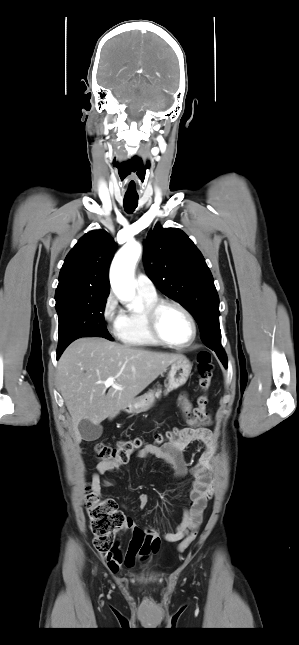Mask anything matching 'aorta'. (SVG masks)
<instances>
[{
  "label": "aorta",
  "instance_id": "obj_1",
  "mask_svg": "<svg viewBox=\"0 0 299 645\" xmlns=\"http://www.w3.org/2000/svg\"><path fill=\"white\" fill-rule=\"evenodd\" d=\"M142 252L137 242L126 243L115 255L110 282L113 292L123 301H131L135 295L134 268Z\"/></svg>",
  "mask_w": 299,
  "mask_h": 645
}]
</instances>
